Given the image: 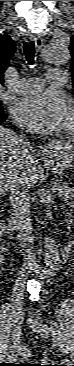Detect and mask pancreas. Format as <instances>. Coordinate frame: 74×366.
<instances>
[{
    "instance_id": "cf45deb5",
    "label": "pancreas",
    "mask_w": 74,
    "mask_h": 366,
    "mask_svg": "<svg viewBox=\"0 0 74 366\" xmlns=\"http://www.w3.org/2000/svg\"><path fill=\"white\" fill-rule=\"evenodd\" d=\"M58 190H62L63 193H65L68 197H72V189L69 188L67 185L60 186Z\"/></svg>"
}]
</instances>
